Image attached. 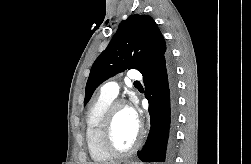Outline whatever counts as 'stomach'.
Listing matches in <instances>:
<instances>
[{
    "instance_id": "1",
    "label": "stomach",
    "mask_w": 251,
    "mask_h": 164,
    "mask_svg": "<svg viewBox=\"0 0 251 164\" xmlns=\"http://www.w3.org/2000/svg\"><path fill=\"white\" fill-rule=\"evenodd\" d=\"M128 164H138V163H134V162H132V163H128Z\"/></svg>"
}]
</instances>
